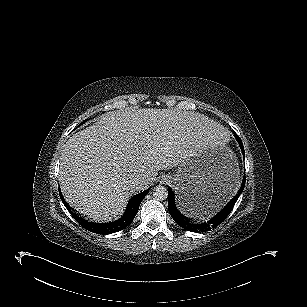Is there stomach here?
<instances>
[{"label":"stomach","mask_w":307,"mask_h":307,"mask_svg":"<svg viewBox=\"0 0 307 307\" xmlns=\"http://www.w3.org/2000/svg\"><path fill=\"white\" fill-rule=\"evenodd\" d=\"M172 179L180 209L191 216L224 205L238 188L239 169L229 148L208 147L183 160Z\"/></svg>","instance_id":"obj_1"}]
</instances>
